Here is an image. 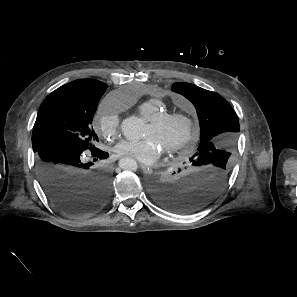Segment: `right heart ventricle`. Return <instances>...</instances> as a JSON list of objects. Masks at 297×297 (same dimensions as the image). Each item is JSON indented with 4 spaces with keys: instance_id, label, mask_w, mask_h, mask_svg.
Masks as SVG:
<instances>
[{
    "instance_id": "obj_1",
    "label": "right heart ventricle",
    "mask_w": 297,
    "mask_h": 297,
    "mask_svg": "<svg viewBox=\"0 0 297 297\" xmlns=\"http://www.w3.org/2000/svg\"><path fill=\"white\" fill-rule=\"evenodd\" d=\"M138 111L143 115L147 120H151L154 117L167 112V106L163 99L161 98H150L142 102L138 106Z\"/></svg>"
}]
</instances>
